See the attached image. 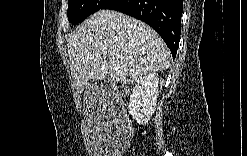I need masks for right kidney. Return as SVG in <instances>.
Masks as SVG:
<instances>
[{
  "label": "right kidney",
  "instance_id": "right-kidney-1",
  "mask_svg": "<svg viewBox=\"0 0 247 156\" xmlns=\"http://www.w3.org/2000/svg\"><path fill=\"white\" fill-rule=\"evenodd\" d=\"M158 74L147 73L133 88L129 100V112L138 124H146L154 113L158 96Z\"/></svg>",
  "mask_w": 247,
  "mask_h": 156
}]
</instances>
